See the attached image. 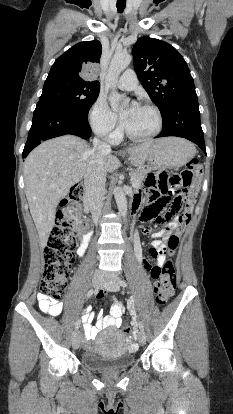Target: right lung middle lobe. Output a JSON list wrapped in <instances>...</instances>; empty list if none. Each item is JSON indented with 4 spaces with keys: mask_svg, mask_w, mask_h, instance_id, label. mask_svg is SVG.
<instances>
[{
    "mask_svg": "<svg viewBox=\"0 0 233 414\" xmlns=\"http://www.w3.org/2000/svg\"><path fill=\"white\" fill-rule=\"evenodd\" d=\"M100 86L63 77H47L40 101H52L88 113L99 95Z\"/></svg>",
    "mask_w": 233,
    "mask_h": 414,
    "instance_id": "right-lung-middle-lobe-1",
    "label": "right lung middle lobe"
}]
</instances>
